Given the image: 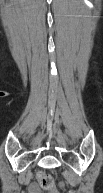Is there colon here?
Wrapping results in <instances>:
<instances>
[{"label":"colon","mask_w":103,"mask_h":193,"mask_svg":"<svg viewBox=\"0 0 103 193\" xmlns=\"http://www.w3.org/2000/svg\"><path fill=\"white\" fill-rule=\"evenodd\" d=\"M38 180L42 188L53 190L54 179L50 174H47L43 171L38 172Z\"/></svg>","instance_id":"colon-1"}]
</instances>
